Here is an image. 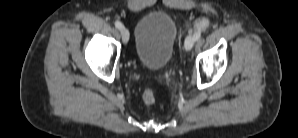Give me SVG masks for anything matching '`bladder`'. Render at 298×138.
Here are the masks:
<instances>
[{"instance_id": "obj_1", "label": "bladder", "mask_w": 298, "mask_h": 138, "mask_svg": "<svg viewBox=\"0 0 298 138\" xmlns=\"http://www.w3.org/2000/svg\"><path fill=\"white\" fill-rule=\"evenodd\" d=\"M176 38V26L164 13H152L137 25L134 48L140 64L149 70L163 69L171 59Z\"/></svg>"}]
</instances>
